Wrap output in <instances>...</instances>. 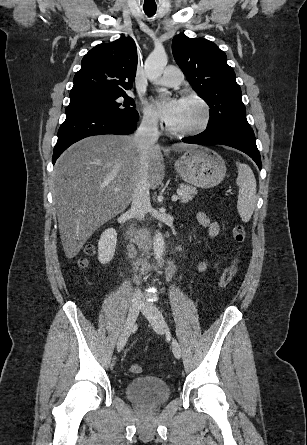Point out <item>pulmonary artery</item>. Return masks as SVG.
<instances>
[{"label": "pulmonary artery", "instance_id": "e3ab8cb5", "mask_svg": "<svg viewBox=\"0 0 307 445\" xmlns=\"http://www.w3.org/2000/svg\"><path fill=\"white\" fill-rule=\"evenodd\" d=\"M182 76H183L182 69H177L176 67L169 66L163 72L161 84L170 86L180 83L182 80Z\"/></svg>", "mask_w": 307, "mask_h": 445}]
</instances>
